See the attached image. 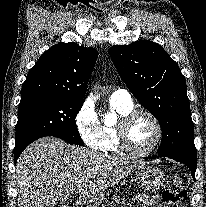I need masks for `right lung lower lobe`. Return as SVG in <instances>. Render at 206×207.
I'll list each match as a JSON object with an SVG mask.
<instances>
[{
  "instance_id": "98d812e1",
  "label": "right lung lower lobe",
  "mask_w": 206,
  "mask_h": 207,
  "mask_svg": "<svg viewBox=\"0 0 206 207\" xmlns=\"http://www.w3.org/2000/svg\"><path fill=\"white\" fill-rule=\"evenodd\" d=\"M25 148H26V147H25ZM25 148H20V149H16V150H14V162L17 161L18 157L20 156V154L22 153V151H23Z\"/></svg>"
}]
</instances>
